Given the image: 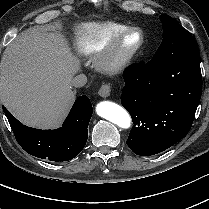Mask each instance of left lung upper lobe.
Here are the masks:
<instances>
[{
  "mask_svg": "<svg viewBox=\"0 0 209 209\" xmlns=\"http://www.w3.org/2000/svg\"><path fill=\"white\" fill-rule=\"evenodd\" d=\"M163 41L149 64L168 63L192 52H198V46L192 35L174 18L161 15Z\"/></svg>",
  "mask_w": 209,
  "mask_h": 209,
  "instance_id": "1",
  "label": "left lung upper lobe"
}]
</instances>
